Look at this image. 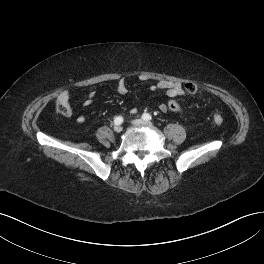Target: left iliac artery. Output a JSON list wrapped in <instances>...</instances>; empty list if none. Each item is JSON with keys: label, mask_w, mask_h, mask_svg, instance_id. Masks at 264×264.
I'll list each match as a JSON object with an SVG mask.
<instances>
[{"label": "left iliac artery", "mask_w": 264, "mask_h": 264, "mask_svg": "<svg viewBox=\"0 0 264 264\" xmlns=\"http://www.w3.org/2000/svg\"><path fill=\"white\" fill-rule=\"evenodd\" d=\"M151 115L150 114H148V113H144L143 115H142V119H144V120H146V121H148V120H151Z\"/></svg>", "instance_id": "left-iliac-artery-1"}]
</instances>
